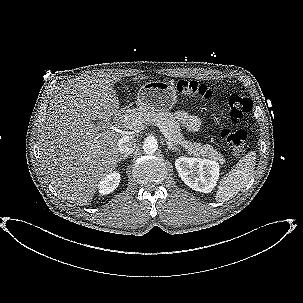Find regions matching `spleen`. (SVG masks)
<instances>
[{
	"label": "spleen",
	"instance_id": "obj_1",
	"mask_svg": "<svg viewBox=\"0 0 303 303\" xmlns=\"http://www.w3.org/2000/svg\"><path fill=\"white\" fill-rule=\"evenodd\" d=\"M256 162L255 151H250L243 156L236 166L219 182L215 200L225 202L235 197L248 184Z\"/></svg>",
	"mask_w": 303,
	"mask_h": 303
}]
</instances>
